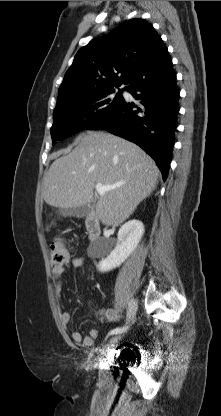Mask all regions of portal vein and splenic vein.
<instances>
[{
	"label": "portal vein and splenic vein",
	"instance_id": "obj_1",
	"mask_svg": "<svg viewBox=\"0 0 221 416\" xmlns=\"http://www.w3.org/2000/svg\"><path fill=\"white\" fill-rule=\"evenodd\" d=\"M121 184H116V185H103L101 183H97L96 184V191L98 192V194H104L105 192L115 189L116 187H119Z\"/></svg>",
	"mask_w": 221,
	"mask_h": 416
}]
</instances>
